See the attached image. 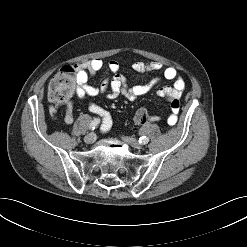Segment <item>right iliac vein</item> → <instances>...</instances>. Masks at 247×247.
I'll list each match as a JSON object with an SVG mask.
<instances>
[{
	"label": "right iliac vein",
	"instance_id": "63e3f726",
	"mask_svg": "<svg viewBox=\"0 0 247 247\" xmlns=\"http://www.w3.org/2000/svg\"><path fill=\"white\" fill-rule=\"evenodd\" d=\"M96 140V135L95 133H89L88 135L85 136L84 138V141L87 143V144H92L94 143Z\"/></svg>",
	"mask_w": 247,
	"mask_h": 247
}]
</instances>
